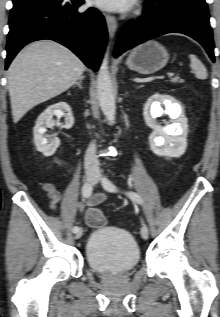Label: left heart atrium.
<instances>
[{"label":"left heart atrium","instance_id":"obj_1","mask_svg":"<svg viewBox=\"0 0 220 317\" xmlns=\"http://www.w3.org/2000/svg\"><path fill=\"white\" fill-rule=\"evenodd\" d=\"M94 3L106 10H119L128 6V0H94Z\"/></svg>","mask_w":220,"mask_h":317}]
</instances>
